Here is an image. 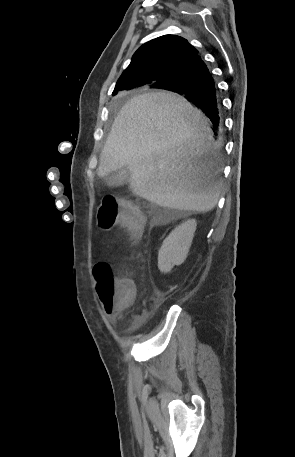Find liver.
<instances>
[{
    "label": "liver",
    "instance_id": "6515ba94",
    "mask_svg": "<svg viewBox=\"0 0 295 457\" xmlns=\"http://www.w3.org/2000/svg\"><path fill=\"white\" fill-rule=\"evenodd\" d=\"M123 167L130 171L133 193L161 207L204 213L218 202L221 159L208 120L174 93H144L122 107L97 174L105 177Z\"/></svg>",
    "mask_w": 295,
    "mask_h": 457
}]
</instances>
